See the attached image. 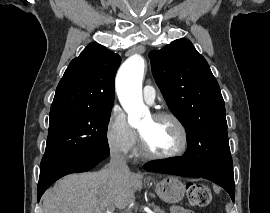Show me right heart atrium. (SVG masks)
I'll list each match as a JSON object with an SVG mask.
<instances>
[{
	"mask_svg": "<svg viewBox=\"0 0 270 213\" xmlns=\"http://www.w3.org/2000/svg\"><path fill=\"white\" fill-rule=\"evenodd\" d=\"M105 137L111 154L121 159L133 156L137 145V134L119 106H114L111 110L105 129Z\"/></svg>",
	"mask_w": 270,
	"mask_h": 213,
	"instance_id": "d8ad5b80",
	"label": "right heart atrium"
}]
</instances>
